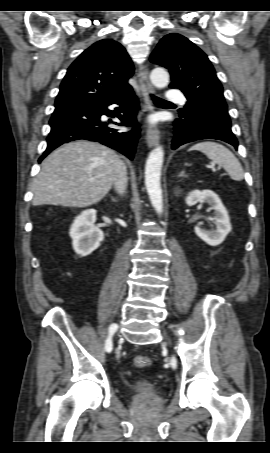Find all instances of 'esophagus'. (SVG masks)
<instances>
[{
  "mask_svg": "<svg viewBox=\"0 0 270 453\" xmlns=\"http://www.w3.org/2000/svg\"><path fill=\"white\" fill-rule=\"evenodd\" d=\"M139 87L148 111L153 110L149 94L154 93V88L149 80L148 69L143 66L138 73ZM146 142L149 147H154L159 142V131L155 128L149 127L146 133Z\"/></svg>",
  "mask_w": 270,
  "mask_h": 453,
  "instance_id": "1",
  "label": "esophagus"
}]
</instances>
